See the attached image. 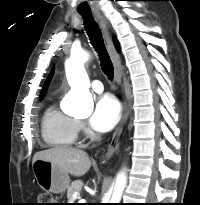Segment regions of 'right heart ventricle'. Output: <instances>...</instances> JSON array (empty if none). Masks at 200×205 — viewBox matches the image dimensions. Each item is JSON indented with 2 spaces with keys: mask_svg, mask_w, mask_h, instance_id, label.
Returning a JSON list of instances; mask_svg holds the SVG:
<instances>
[{
  "mask_svg": "<svg viewBox=\"0 0 200 205\" xmlns=\"http://www.w3.org/2000/svg\"><path fill=\"white\" fill-rule=\"evenodd\" d=\"M78 122L63 113L55 104L47 106L41 119V135L46 145L72 147L77 139Z\"/></svg>",
  "mask_w": 200,
  "mask_h": 205,
  "instance_id": "right-heart-ventricle-1",
  "label": "right heart ventricle"
}]
</instances>
